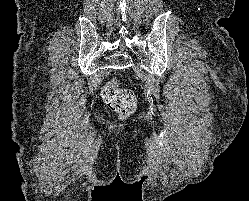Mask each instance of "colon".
<instances>
[{
	"instance_id": "colon-1",
	"label": "colon",
	"mask_w": 249,
	"mask_h": 201,
	"mask_svg": "<svg viewBox=\"0 0 249 201\" xmlns=\"http://www.w3.org/2000/svg\"><path fill=\"white\" fill-rule=\"evenodd\" d=\"M103 102L122 117L132 114L136 99L132 91L120 88L116 82H110L102 89Z\"/></svg>"
}]
</instances>
